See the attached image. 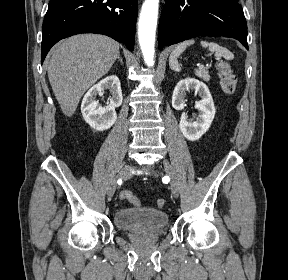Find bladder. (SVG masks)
Here are the masks:
<instances>
[{
	"label": "bladder",
	"mask_w": 288,
	"mask_h": 280,
	"mask_svg": "<svg viewBox=\"0 0 288 280\" xmlns=\"http://www.w3.org/2000/svg\"><path fill=\"white\" fill-rule=\"evenodd\" d=\"M168 215L151 207L118 209L113 215L114 225L124 231L158 232L168 225Z\"/></svg>",
	"instance_id": "bladder-1"
}]
</instances>
